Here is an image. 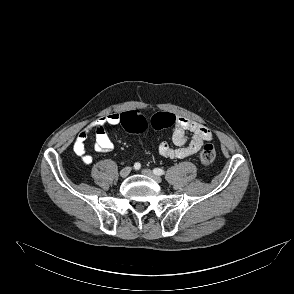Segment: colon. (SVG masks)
Returning <instances> with one entry per match:
<instances>
[{
    "instance_id": "5ec220e1",
    "label": "colon",
    "mask_w": 294,
    "mask_h": 294,
    "mask_svg": "<svg viewBox=\"0 0 294 294\" xmlns=\"http://www.w3.org/2000/svg\"><path fill=\"white\" fill-rule=\"evenodd\" d=\"M175 123V116L171 113L158 112L150 120V125L157 130L172 126ZM121 125L130 133L139 134L148 127V121L138 111L121 113ZM216 157V150L212 144H205L199 153V160L203 165L211 164Z\"/></svg>"
}]
</instances>
